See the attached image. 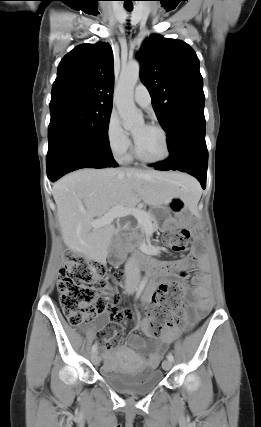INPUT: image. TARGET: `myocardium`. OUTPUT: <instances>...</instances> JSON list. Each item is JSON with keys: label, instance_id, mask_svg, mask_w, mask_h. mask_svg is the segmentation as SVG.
Instances as JSON below:
<instances>
[{"label": "myocardium", "instance_id": "obj_1", "mask_svg": "<svg viewBox=\"0 0 261 427\" xmlns=\"http://www.w3.org/2000/svg\"><path fill=\"white\" fill-rule=\"evenodd\" d=\"M147 126L154 128L161 133L163 140H164V144H165V154L158 159L144 158L138 153L136 143L134 141V145H133V149H132L133 157L137 161H139L140 163H143L146 165H154V164H158V163L166 161L170 157V154H171L170 140H169V136H168L167 131L161 125H159L157 123H151V124H148Z\"/></svg>", "mask_w": 261, "mask_h": 427}]
</instances>
